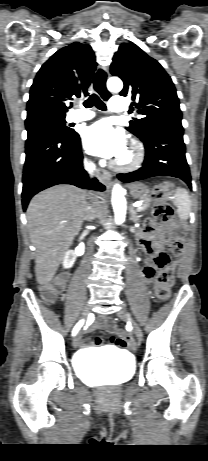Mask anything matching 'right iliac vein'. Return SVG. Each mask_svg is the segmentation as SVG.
Returning <instances> with one entry per match:
<instances>
[{
    "label": "right iliac vein",
    "mask_w": 208,
    "mask_h": 461,
    "mask_svg": "<svg viewBox=\"0 0 208 461\" xmlns=\"http://www.w3.org/2000/svg\"><path fill=\"white\" fill-rule=\"evenodd\" d=\"M90 314V308L88 306H86L84 309H83V312H82V315H81V319L83 321H85L88 316ZM79 343H80V334L78 333L74 339H73V342H72V345L74 348H77L79 346Z\"/></svg>",
    "instance_id": "right-iliac-vein-1"
}]
</instances>
